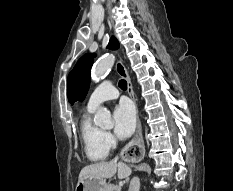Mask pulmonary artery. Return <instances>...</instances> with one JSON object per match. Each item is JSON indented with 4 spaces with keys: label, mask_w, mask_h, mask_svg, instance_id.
<instances>
[{
    "label": "pulmonary artery",
    "mask_w": 233,
    "mask_h": 191,
    "mask_svg": "<svg viewBox=\"0 0 233 191\" xmlns=\"http://www.w3.org/2000/svg\"><path fill=\"white\" fill-rule=\"evenodd\" d=\"M119 93L115 86L110 81H104L101 83L90 95L87 109L94 111L103 102L114 100L118 97Z\"/></svg>",
    "instance_id": "obj_1"
}]
</instances>
